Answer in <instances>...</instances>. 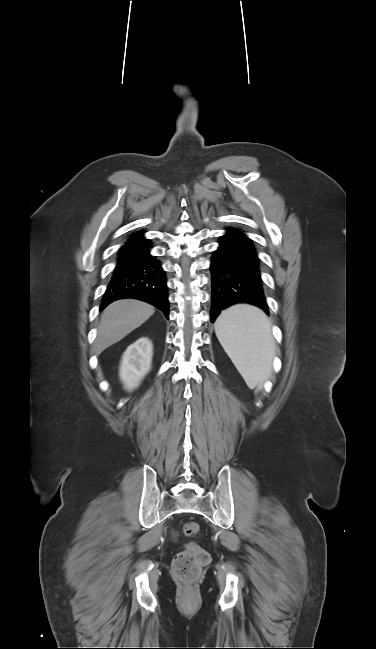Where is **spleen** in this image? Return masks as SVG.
<instances>
[{"label": "spleen", "mask_w": 376, "mask_h": 649, "mask_svg": "<svg viewBox=\"0 0 376 649\" xmlns=\"http://www.w3.org/2000/svg\"><path fill=\"white\" fill-rule=\"evenodd\" d=\"M216 336L250 389L268 378L272 370L275 342L271 323L259 308L233 305L215 322Z\"/></svg>", "instance_id": "spleen-1"}]
</instances>
